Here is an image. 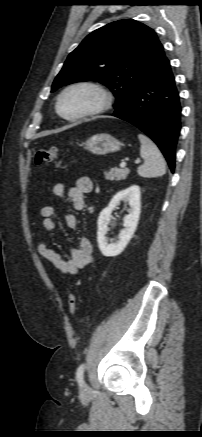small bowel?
<instances>
[{"instance_id":"1","label":"small bowel","mask_w":202,"mask_h":437,"mask_svg":"<svg viewBox=\"0 0 202 437\" xmlns=\"http://www.w3.org/2000/svg\"><path fill=\"white\" fill-rule=\"evenodd\" d=\"M93 189V182L89 177H80L74 185L66 183H56L52 187V194L57 197L66 195L70 201L72 208L76 211L92 208L87 206L86 195ZM55 209L52 206H44L40 210L42 217V227L46 231H54L56 223L54 216ZM67 227L74 230L77 226V218L74 214L68 213L65 217ZM38 254L47 260L54 268L63 274L73 275L80 269L84 268L92 262L93 259V244L85 237L80 238L76 246L70 248V256L63 258L57 251L48 247L43 242H38L36 246Z\"/></svg>"}]
</instances>
